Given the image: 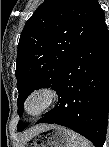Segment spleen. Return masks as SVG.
<instances>
[{
    "label": "spleen",
    "mask_w": 109,
    "mask_h": 147,
    "mask_svg": "<svg viewBox=\"0 0 109 147\" xmlns=\"http://www.w3.org/2000/svg\"><path fill=\"white\" fill-rule=\"evenodd\" d=\"M67 147H90V144L84 137L70 130Z\"/></svg>",
    "instance_id": "spleen-1"
}]
</instances>
